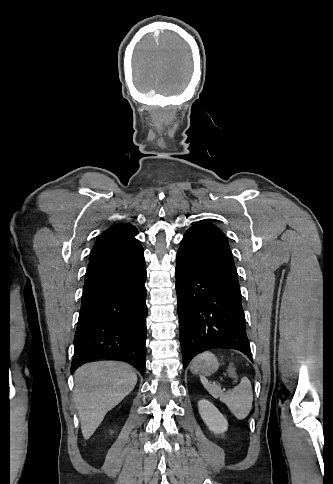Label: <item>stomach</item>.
<instances>
[{
    "instance_id": "1",
    "label": "stomach",
    "mask_w": 333,
    "mask_h": 484,
    "mask_svg": "<svg viewBox=\"0 0 333 484\" xmlns=\"http://www.w3.org/2000/svg\"><path fill=\"white\" fill-rule=\"evenodd\" d=\"M219 368L217 358L210 352H204L196 357L191 364V371L193 373H202L209 376Z\"/></svg>"
}]
</instances>
